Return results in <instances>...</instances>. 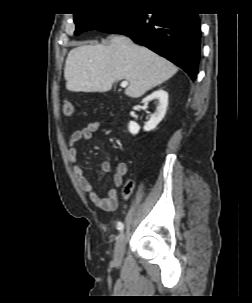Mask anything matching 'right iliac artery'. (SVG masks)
Wrapping results in <instances>:
<instances>
[{"instance_id":"1","label":"right iliac artery","mask_w":252,"mask_h":303,"mask_svg":"<svg viewBox=\"0 0 252 303\" xmlns=\"http://www.w3.org/2000/svg\"><path fill=\"white\" fill-rule=\"evenodd\" d=\"M117 228H118L119 231H122L123 228H124V224L122 222H118L117 223Z\"/></svg>"}]
</instances>
